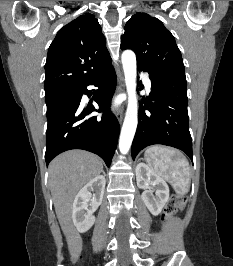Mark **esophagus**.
<instances>
[{
  "instance_id": "34e87169",
  "label": "esophagus",
  "mask_w": 233,
  "mask_h": 266,
  "mask_svg": "<svg viewBox=\"0 0 233 266\" xmlns=\"http://www.w3.org/2000/svg\"><path fill=\"white\" fill-rule=\"evenodd\" d=\"M124 88V77L122 74L118 75V85H117V92H121ZM123 115H124V106L121 105L118 107L117 111H116V117L118 119V121L121 123L123 120Z\"/></svg>"
}]
</instances>
